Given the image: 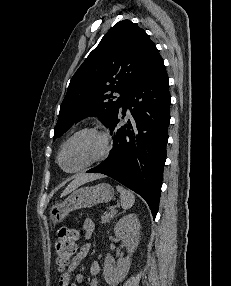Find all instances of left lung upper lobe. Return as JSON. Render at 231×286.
I'll return each mask as SVG.
<instances>
[{
    "label": "left lung upper lobe",
    "instance_id": "1",
    "mask_svg": "<svg viewBox=\"0 0 231 286\" xmlns=\"http://www.w3.org/2000/svg\"><path fill=\"white\" fill-rule=\"evenodd\" d=\"M159 59V51L142 28L129 20L118 22L72 77L54 137L87 116H97L109 127L124 94ZM111 92L121 96L116 99Z\"/></svg>",
    "mask_w": 231,
    "mask_h": 286
}]
</instances>
